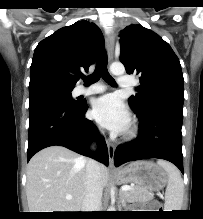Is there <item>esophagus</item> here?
Returning a JSON list of instances; mask_svg holds the SVG:
<instances>
[{"mask_svg":"<svg viewBox=\"0 0 203 219\" xmlns=\"http://www.w3.org/2000/svg\"><path fill=\"white\" fill-rule=\"evenodd\" d=\"M105 43H106L107 57H108V61L110 63L113 60L114 44H115V39H114V35L112 32H110V31L106 32ZM107 148H108V156H109L110 166L112 167L113 161H114L115 146L109 140H107Z\"/></svg>","mask_w":203,"mask_h":219,"instance_id":"34e87169","label":"esophagus"}]
</instances>
